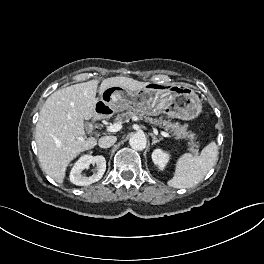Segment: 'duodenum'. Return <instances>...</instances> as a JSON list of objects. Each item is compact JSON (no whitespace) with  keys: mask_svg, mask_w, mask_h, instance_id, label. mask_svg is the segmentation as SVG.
<instances>
[{"mask_svg":"<svg viewBox=\"0 0 264 264\" xmlns=\"http://www.w3.org/2000/svg\"><path fill=\"white\" fill-rule=\"evenodd\" d=\"M102 116H103V114L101 112L95 113V115L92 118V122L94 123V122L100 120L102 118Z\"/></svg>","mask_w":264,"mask_h":264,"instance_id":"1","label":"duodenum"}]
</instances>
